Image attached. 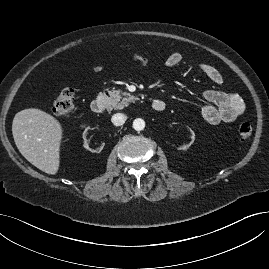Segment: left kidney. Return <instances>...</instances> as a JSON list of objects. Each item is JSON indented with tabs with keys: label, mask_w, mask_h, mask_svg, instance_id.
<instances>
[{
	"label": "left kidney",
	"mask_w": 269,
	"mask_h": 269,
	"mask_svg": "<svg viewBox=\"0 0 269 269\" xmlns=\"http://www.w3.org/2000/svg\"><path fill=\"white\" fill-rule=\"evenodd\" d=\"M188 131H189V136L191 138V141L189 144H186V145H182L179 147L180 150H186L190 147V145L194 142L195 140V133L194 131L191 129V128H188Z\"/></svg>",
	"instance_id": "obj_1"
}]
</instances>
